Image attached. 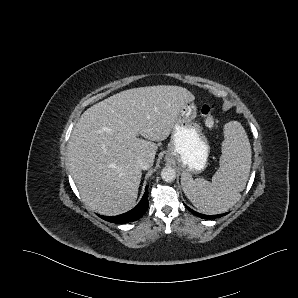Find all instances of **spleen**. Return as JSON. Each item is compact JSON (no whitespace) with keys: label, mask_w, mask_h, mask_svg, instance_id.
<instances>
[{"label":"spleen","mask_w":298,"mask_h":298,"mask_svg":"<svg viewBox=\"0 0 298 298\" xmlns=\"http://www.w3.org/2000/svg\"><path fill=\"white\" fill-rule=\"evenodd\" d=\"M220 167L209 182L184 173L183 191L194 207L204 214H219L241 198L249 177L252 151L244 127L238 121L224 125ZM183 186V184H182Z\"/></svg>","instance_id":"3e777b00"}]
</instances>
